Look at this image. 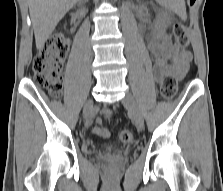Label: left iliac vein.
I'll use <instances>...</instances> for the list:
<instances>
[{"label":"left iliac vein","mask_w":223,"mask_h":191,"mask_svg":"<svg viewBox=\"0 0 223 191\" xmlns=\"http://www.w3.org/2000/svg\"><path fill=\"white\" fill-rule=\"evenodd\" d=\"M122 104L124 105L128 113L130 114L136 128L138 130H142L144 126L143 116L134 97L130 93H127L124 99L122 100Z\"/></svg>","instance_id":"left-iliac-vein-1"}]
</instances>
